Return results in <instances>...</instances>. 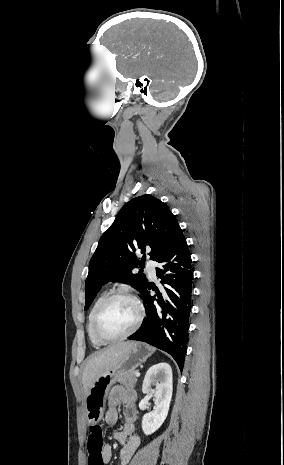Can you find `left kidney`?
<instances>
[{
  "label": "left kidney",
  "instance_id": "5707ae66",
  "mask_svg": "<svg viewBox=\"0 0 284 465\" xmlns=\"http://www.w3.org/2000/svg\"><path fill=\"white\" fill-rule=\"evenodd\" d=\"M172 379V369L168 363L153 365L145 375L142 393L153 395L156 405L154 411L146 413L143 417L142 429L145 435L155 433L168 415L173 391ZM152 385H155L156 389H152Z\"/></svg>",
  "mask_w": 284,
  "mask_h": 465
}]
</instances>
